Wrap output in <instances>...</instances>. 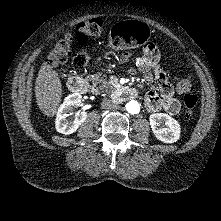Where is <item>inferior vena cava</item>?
<instances>
[{
  "mask_svg": "<svg viewBox=\"0 0 221 221\" xmlns=\"http://www.w3.org/2000/svg\"><path fill=\"white\" fill-rule=\"evenodd\" d=\"M101 107H102V109L112 110V109H116L117 108V104L115 103L114 100L104 98L102 100Z\"/></svg>",
  "mask_w": 221,
  "mask_h": 221,
  "instance_id": "obj_1",
  "label": "inferior vena cava"
}]
</instances>
